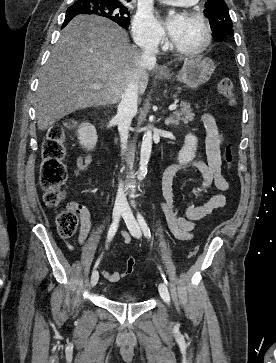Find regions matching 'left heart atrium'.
<instances>
[{
  "label": "left heart atrium",
  "instance_id": "39dd6f15",
  "mask_svg": "<svg viewBox=\"0 0 276 363\" xmlns=\"http://www.w3.org/2000/svg\"><path fill=\"white\" fill-rule=\"evenodd\" d=\"M182 21V16H177L167 22L169 35L173 38L178 33Z\"/></svg>",
  "mask_w": 276,
  "mask_h": 363
}]
</instances>
